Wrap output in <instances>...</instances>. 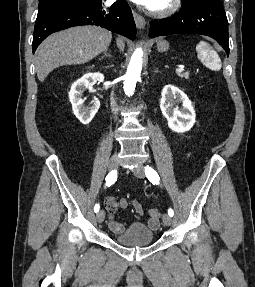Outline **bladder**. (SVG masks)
<instances>
[{"label": "bladder", "instance_id": "bladder-1", "mask_svg": "<svg viewBox=\"0 0 255 287\" xmlns=\"http://www.w3.org/2000/svg\"><path fill=\"white\" fill-rule=\"evenodd\" d=\"M114 239L125 246L148 245L154 240V231L144 223L134 222L121 233L115 234Z\"/></svg>", "mask_w": 255, "mask_h": 287}]
</instances>
